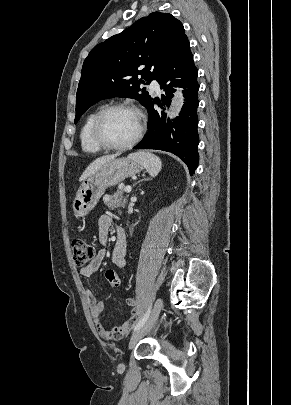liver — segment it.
Here are the masks:
<instances>
[{
  "instance_id": "1",
  "label": "liver",
  "mask_w": 291,
  "mask_h": 405,
  "mask_svg": "<svg viewBox=\"0 0 291 405\" xmlns=\"http://www.w3.org/2000/svg\"><path fill=\"white\" fill-rule=\"evenodd\" d=\"M117 155L103 156L93 161L81 175L79 181H84L94 173H96L105 163L116 158Z\"/></svg>"
}]
</instances>
